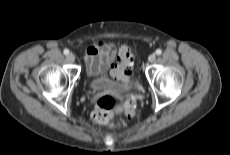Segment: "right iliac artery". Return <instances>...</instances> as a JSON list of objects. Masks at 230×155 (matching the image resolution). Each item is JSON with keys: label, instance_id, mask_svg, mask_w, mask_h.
Masks as SVG:
<instances>
[{"label": "right iliac artery", "instance_id": "obj_1", "mask_svg": "<svg viewBox=\"0 0 230 155\" xmlns=\"http://www.w3.org/2000/svg\"><path fill=\"white\" fill-rule=\"evenodd\" d=\"M63 52H64L65 55L69 54V50L68 49H65Z\"/></svg>", "mask_w": 230, "mask_h": 155}]
</instances>
